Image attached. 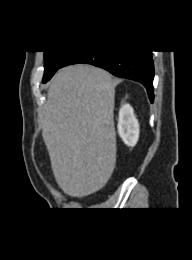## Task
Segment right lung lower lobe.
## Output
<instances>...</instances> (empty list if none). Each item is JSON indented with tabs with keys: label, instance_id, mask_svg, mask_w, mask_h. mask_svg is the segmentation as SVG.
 Wrapping results in <instances>:
<instances>
[{
	"label": "right lung lower lobe",
	"instance_id": "1",
	"mask_svg": "<svg viewBox=\"0 0 192 260\" xmlns=\"http://www.w3.org/2000/svg\"><path fill=\"white\" fill-rule=\"evenodd\" d=\"M87 63L106 69L115 76L142 83L147 89L151 103L154 99V65L149 50L140 51H84L73 52L62 67Z\"/></svg>",
	"mask_w": 192,
	"mask_h": 260
}]
</instances>
